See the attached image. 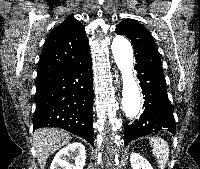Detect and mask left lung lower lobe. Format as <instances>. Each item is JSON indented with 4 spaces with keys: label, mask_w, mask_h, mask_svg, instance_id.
<instances>
[{
    "label": "left lung lower lobe",
    "mask_w": 200,
    "mask_h": 169,
    "mask_svg": "<svg viewBox=\"0 0 200 169\" xmlns=\"http://www.w3.org/2000/svg\"><path fill=\"white\" fill-rule=\"evenodd\" d=\"M135 70L138 73L143 95H145V110L134 124L124 125L125 144L160 130L175 134L173 106L167 96L163 72L153 65L141 62H137Z\"/></svg>",
    "instance_id": "left-lung-lower-lobe-1"
}]
</instances>
